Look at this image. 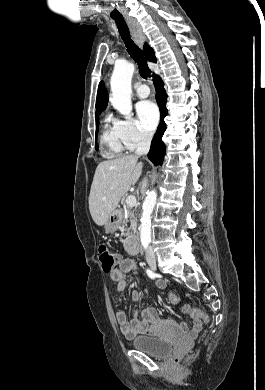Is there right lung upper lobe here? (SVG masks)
Segmentation results:
<instances>
[{
    "label": "right lung upper lobe",
    "instance_id": "obj_1",
    "mask_svg": "<svg viewBox=\"0 0 265 390\" xmlns=\"http://www.w3.org/2000/svg\"><path fill=\"white\" fill-rule=\"evenodd\" d=\"M144 53L146 58L149 61L156 62V57L154 55V51L147 44L144 45ZM108 103V93L107 89L104 86L103 82L99 83L97 99H96V118L99 117V114L106 108Z\"/></svg>",
    "mask_w": 265,
    "mask_h": 390
}]
</instances>
